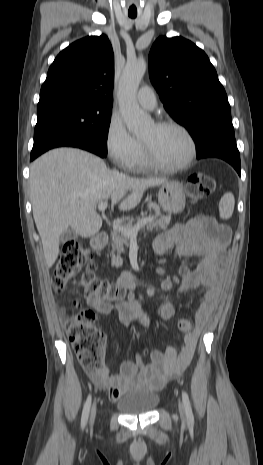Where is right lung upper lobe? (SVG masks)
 Returning a JSON list of instances; mask_svg holds the SVG:
<instances>
[{"mask_svg":"<svg viewBox=\"0 0 263 465\" xmlns=\"http://www.w3.org/2000/svg\"><path fill=\"white\" fill-rule=\"evenodd\" d=\"M114 54L107 36H88L65 48L50 66L40 91L43 102L77 98L112 105Z\"/></svg>","mask_w":263,"mask_h":465,"instance_id":"1","label":"right lung upper lobe"}]
</instances>
